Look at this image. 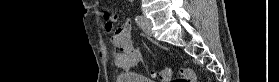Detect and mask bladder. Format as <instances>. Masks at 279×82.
Wrapping results in <instances>:
<instances>
[{
	"label": "bladder",
	"instance_id": "1",
	"mask_svg": "<svg viewBox=\"0 0 279 82\" xmlns=\"http://www.w3.org/2000/svg\"><path fill=\"white\" fill-rule=\"evenodd\" d=\"M117 82H152L146 76L138 73L123 72L119 73L116 78Z\"/></svg>",
	"mask_w": 279,
	"mask_h": 82
}]
</instances>
